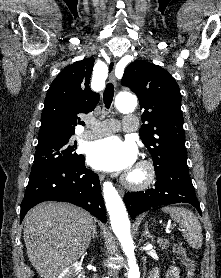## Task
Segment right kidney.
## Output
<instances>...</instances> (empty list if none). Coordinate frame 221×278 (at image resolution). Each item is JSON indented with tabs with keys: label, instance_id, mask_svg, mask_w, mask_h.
<instances>
[{
	"label": "right kidney",
	"instance_id": "obj_1",
	"mask_svg": "<svg viewBox=\"0 0 221 278\" xmlns=\"http://www.w3.org/2000/svg\"><path fill=\"white\" fill-rule=\"evenodd\" d=\"M80 269L81 263L75 262L67 267L57 278H73ZM82 278H85V276L83 275Z\"/></svg>",
	"mask_w": 221,
	"mask_h": 278
}]
</instances>
